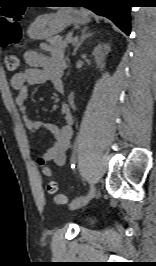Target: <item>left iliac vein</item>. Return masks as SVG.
Instances as JSON below:
<instances>
[{
  "mask_svg": "<svg viewBox=\"0 0 156 266\" xmlns=\"http://www.w3.org/2000/svg\"><path fill=\"white\" fill-rule=\"evenodd\" d=\"M94 196H90L89 198H86L84 196L82 199H80L78 201H75V202H72L70 204V208L73 209V210L74 209H79V208L85 206L86 204H88L93 199Z\"/></svg>",
  "mask_w": 156,
  "mask_h": 266,
  "instance_id": "1",
  "label": "left iliac vein"
}]
</instances>
